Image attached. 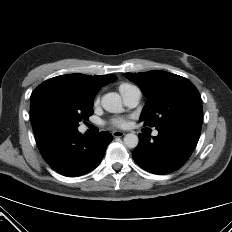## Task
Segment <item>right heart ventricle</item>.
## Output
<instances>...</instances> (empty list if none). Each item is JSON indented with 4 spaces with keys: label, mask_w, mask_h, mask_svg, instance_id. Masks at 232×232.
I'll return each instance as SVG.
<instances>
[{
    "label": "right heart ventricle",
    "mask_w": 232,
    "mask_h": 232,
    "mask_svg": "<svg viewBox=\"0 0 232 232\" xmlns=\"http://www.w3.org/2000/svg\"><path fill=\"white\" fill-rule=\"evenodd\" d=\"M136 88H137L136 86H134L133 84H130V83H121L118 86L119 92L121 93L122 97L124 95L129 94L130 92H132Z\"/></svg>",
    "instance_id": "right-heart-ventricle-1"
}]
</instances>
